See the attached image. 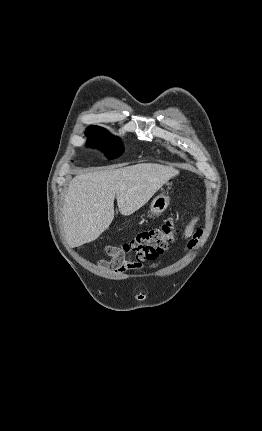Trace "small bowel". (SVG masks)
Here are the masks:
<instances>
[{
    "label": "small bowel",
    "mask_w": 262,
    "mask_h": 431,
    "mask_svg": "<svg viewBox=\"0 0 262 431\" xmlns=\"http://www.w3.org/2000/svg\"><path fill=\"white\" fill-rule=\"evenodd\" d=\"M197 219H192L188 225L185 227L183 231V236L185 239L188 240V248L191 249L193 246L197 243L199 237L201 236V231H196L195 226L197 224ZM100 266L104 267L105 269L110 270L113 273L116 274H123L129 269H140L141 265H129L119 262L116 259L113 260H101L99 262ZM159 262L152 263L149 268H156L158 267Z\"/></svg>",
    "instance_id": "small-bowel-1"
}]
</instances>
